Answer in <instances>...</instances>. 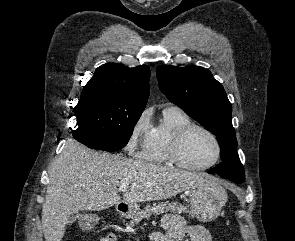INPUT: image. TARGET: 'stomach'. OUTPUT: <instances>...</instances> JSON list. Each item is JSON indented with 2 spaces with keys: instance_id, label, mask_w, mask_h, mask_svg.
Listing matches in <instances>:
<instances>
[{
  "instance_id": "stomach-1",
  "label": "stomach",
  "mask_w": 295,
  "mask_h": 241,
  "mask_svg": "<svg viewBox=\"0 0 295 241\" xmlns=\"http://www.w3.org/2000/svg\"><path fill=\"white\" fill-rule=\"evenodd\" d=\"M226 201L225 189L214 181L209 180L190 188V212L199 221L215 220L220 215L221 208ZM117 208L127 218L132 217L139 210L138 205H127L125 208L117 205Z\"/></svg>"
}]
</instances>
